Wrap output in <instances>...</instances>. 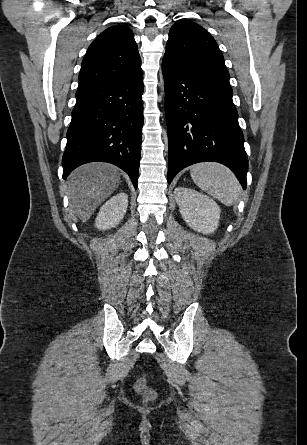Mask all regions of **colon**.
<instances>
[{"instance_id": "colon-1", "label": "colon", "mask_w": 307, "mask_h": 445, "mask_svg": "<svg viewBox=\"0 0 307 445\" xmlns=\"http://www.w3.org/2000/svg\"><path fill=\"white\" fill-rule=\"evenodd\" d=\"M135 391L141 395L145 400H152L155 398V391L147 384L144 377H140L134 385Z\"/></svg>"}]
</instances>
